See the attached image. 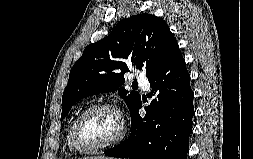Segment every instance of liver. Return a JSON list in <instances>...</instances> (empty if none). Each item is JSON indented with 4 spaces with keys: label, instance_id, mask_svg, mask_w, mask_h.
<instances>
[{
    "label": "liver",
    "instance_id": "obj_1",
    "mask_svg": "<svg viewBox=\"0 0 253 159\" xmlns=\"http://www.w3.org/2000/svg\"><path fill=\"white\" fill-rule=\"evenodd\" d=\"M81 159H111L109 157H104V156H94V157H84Z\"/></svg>",
    "mask_w": 253,
    "mask_h": 159
}]
</instances>
